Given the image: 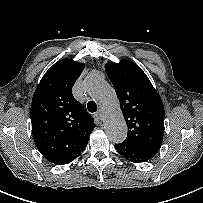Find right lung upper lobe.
<instances>
[{"instance_id": "obj_1", "label": "right lung upper lobe", "mask_w": 203, "mask_h": 203, "mask_svg": "<svg viewBox=\"0 0 203 203\" xmlns=\"http://www.w3.org/2000/svg\"><path fill=\"white\" fill-rule=\"evenodd\" d=\"M83 68V63L69 59L56 62L33 95L30 116L34 142L55 164H67L83 152L95 128L91 115L72 94Z\"/></svg>"}]
</instances>
